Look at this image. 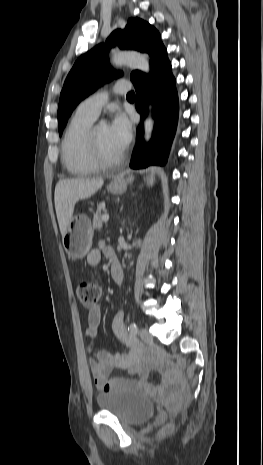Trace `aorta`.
Wrapping results in <instances>:
<instances>
[{
  "instance_id": "1",
  "label": "aorta",
  "mask_w": 263,
  "mask_h": 465,
  "mask_svg": "<svg viewBox=\"0 0 263 465\" xmlns=\"http://www.w3.org/2000/svg\"><path fill=\"white\" fill-rule=\"evenodd\" d=\"M111 63L115 66H128L145 73L150 71L148 57L135 51L114 52L111 58ZM151 108L152 106L150 105V112L144 121V139L146 141L151 138L154 128V119L152 118Z\"/></svg>"
}]
</instances>
